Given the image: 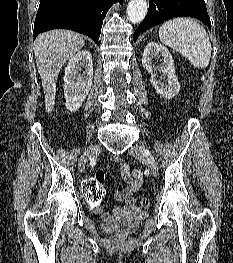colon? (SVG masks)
<instances>
[{
	"mask_svg": "<svg viewBox=\"0 0 233 263\" xmlns=\"http://www.w3.org/2000/svg\"><path fill=\"white\" fill-rule=\"evenodd\" d=\"M92 174H94L93 177L82 179L85 198L88 199L86 208H95V205H100L105 194L103 185L105 176L104 169H92ZM140 203L142 207H148L150 200L148 197H143Z\"/></svg>",
	"mask_w": 233,
	"mask_h": 263,
	"instance_id": "1",
	"label": "colon"
}]
</instances>
